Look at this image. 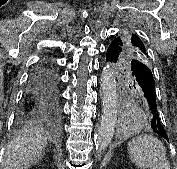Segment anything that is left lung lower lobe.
I'll return each instance as SVG.
<instances>
[{"mask_svg":"<svg viewBox=\"0 0 177 169\" xmlns=\"http://www.w3.org/2000/svg\"><path fill=\"white\" fill-rule=\"evenodd\" d=\"M119 56V45L115 42H111L107 49L106 61L113 64L117 69L130 73L133 77L134 88H137L143 93L146 104L153 115L151 121L152 130L168 141V136L159 117L156 104L155 82L150 68L138 59H130L123 64H118Z\"/></svg>","mask_w":177,"mask_h":169,"instance_id":"0a47b994","label":"left lung lower lobe"}]
</instances>
